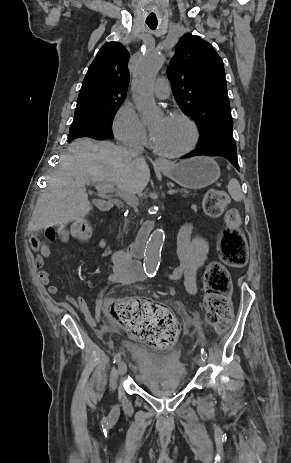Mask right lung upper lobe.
I'll return each instance as SVG.
<instances>
[{
  "mask_svg": "<svg viewBox=\"0 0 291 463\" xmlns=\"http://www.w3.org/2000/svg\"><path fill=\"white\" fill-rule=\"evenodd\" d=\"M128 60L129 53L119 42H108L100 48L83 80L74 117L108 102H123L129 84Z\"/></svg>",
  "mask_w": 291,
  "mask_h": 463,
  "instance_id": "right-lung-upper-lobe-1",
  "label": "right lung upper lobe"
}]
</instances>
